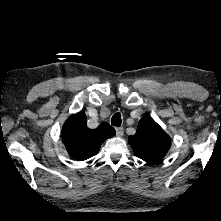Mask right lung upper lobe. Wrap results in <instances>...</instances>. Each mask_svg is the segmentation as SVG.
Here are the masks:
<instances>
[{
  "label": "right lung upper lobe",
  "instance_id": "cb5924a9",
  "mask_svg": "<svg viewBox=\"0 0 221 221\" xmlns=\"http://www.w3.org/2000/svg\"><path fill=\"white\" fill-rule=\"evenodd\" d=\"M84 112L69 117L62 128V140L71 157L86 160L96 155L102 142L115 134V129L103 122L96 129H89Z\"/></svg>",
  "mask_w": 221,
  "mask_h": 221
}]
</instances>
